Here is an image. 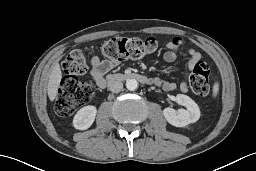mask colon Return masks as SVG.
Segmentation results:
<instances>
[{"label": "colon", "instance_id": "colon-1", "mask_svg": "<svg viewBox=\"0 0 256 171\" xmlns=\"http://www.w3.org/2000/svg\"><path fill=\"white\" fill-rule=\"evenodd\" d=\"M158 48V41L149 37L145 39L135 37H116L106 41L102 47V54L115 61L125 59H139L154 53ZM88 68L86 54L81 49L71 51L62 62L65 76L58 88L55 111L61 117L70 116L77 109L87 104L92 97V87L78 76L86 73ZM191 90L200 96L207 95L209 86V68L206 63L198 62L190 76Z\"/></svg>", "mask_w": 256, "mask_h": 171}]
</instances>
